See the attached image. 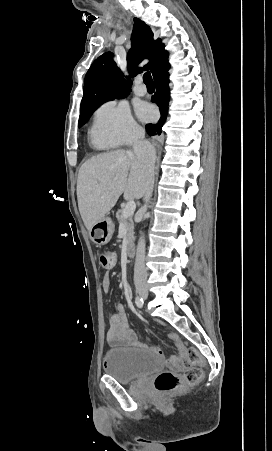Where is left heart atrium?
I'll list each match as a JSON object with an SVG mask.
<instances>
[{"label":"left heart atrium","mask_w":272,"mask_h":451,"mask_svg":"<svg viewBox=\"0 0 272 451\" xmlns=\"http://www.w3.org/2000/svg\"><path fill=\"white\" fill-rule=\"evenodd\" d=\"M153 115H154V111L149 107H146L142 112V116L145 119H150Z\"/></svg>","instance_id":"obj_1"}]
</instances>
